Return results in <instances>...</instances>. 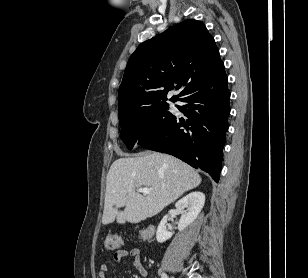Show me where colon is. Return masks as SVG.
I'll use <instances>...</instances> for the list:
<instances>
[{
	"label": "colon",
	"instance_id": "obj_1",
	"mask_svg": "<svg viewBox=\"0 0 308 278\" xmlns=\"http://www.w3.org/2000/svg\"><path fill=\"white\" fill-rule=\"evenodd\" d=\"M141 237H154L155 236V227L154 226H145L144 230L139 232ZM122 238L118 235H109L104 241L105 248L107 250H116L122 245Z\"/></svg>",
	"mask_w": 308,
	"mask_h": 278
}]
</instances>
